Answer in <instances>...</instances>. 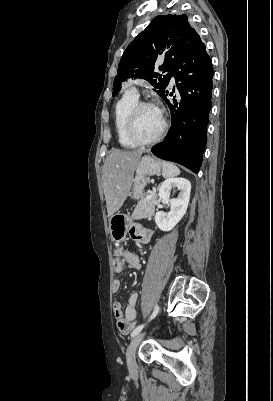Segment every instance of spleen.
Masks as SVG:
<instances>
[{"label": "spleen", "mask_w": 273, "mask_h": 401, "mask_svg": "<svg viewBox=\"0 0 273 401\" xmlns=\"http://www.w3.org/2000/svg\"><path fill=\"white\" fill-rule=\"evenodd\" d=\"M162 168V174L164 178H169V176H177V174H180L178 166H175L173 162H166V160H162Z\"/></svg>", "instance_id": "1"}]
</instances>
